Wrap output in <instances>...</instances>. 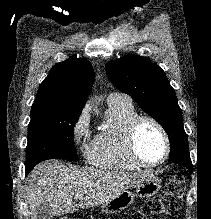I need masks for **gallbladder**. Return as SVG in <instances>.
<instances>
[{"label":"gallbladder","instance_id":"gallbladder-1","mask_svg":"<svg viewBox=\"0 0 211 219\" xmlns=\"http://www.w3.org/2000/svg\"><path fill=\"white\" fill-rule=\"evenodd\" d=\"M36 219H52V213L48 204H43L38 208Z\"/></svg>","mask_w":211,"mask_h":219}]
</instances>
